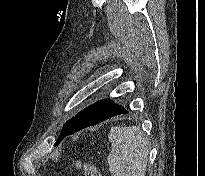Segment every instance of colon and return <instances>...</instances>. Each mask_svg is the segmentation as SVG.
I'll return each instance as SVG.
<instances>
[{
    "mask_svg": "<svg viewBox=\"0 0 205 176\" xmlns=\"http://www.w3.org/2000/svg\"><path fill=\"white\" fill-rule=\"evenodd\" d=\"M82 167V176H102L98 168L92 163H78Z\"/></svg>",
    "mask_w": 205,
    "mask_h": 176,
    "instance_id": "5ec220e1",
    "label": "colon"
}]
</instances>
